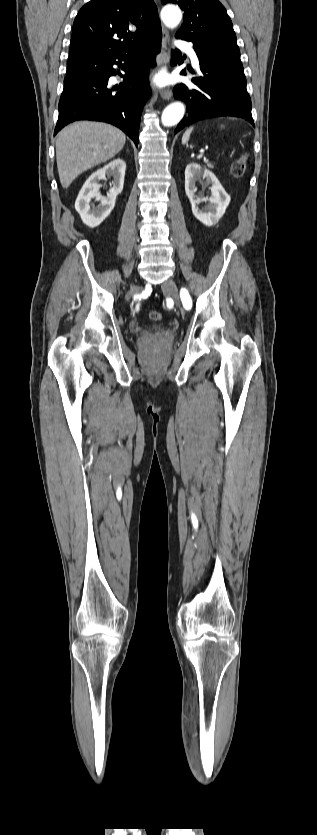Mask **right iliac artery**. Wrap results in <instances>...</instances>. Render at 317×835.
<instances>
[{
  "label": "right iliac artery",
  "mask_w": 317,
  "mask_h": 835,
  "mask_svg": "<svg viewBox=\"0 0 317 835\" xmlns=\"http://www.w3.org/2000/svg\"><path fill=\"white\" fill-rule=\"evenodd\" d=\"M138 308H139V305H137V310H138Z\"/></svg>",
  "instance_id": "obj_1"
}]
</instances>
